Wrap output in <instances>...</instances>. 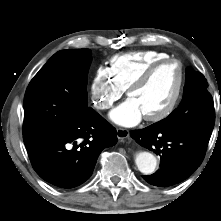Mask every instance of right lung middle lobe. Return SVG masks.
I'll use <instances>...</instances> for the list:
<instances>
[{"instance_id":"dd1d6c3e","label":"right lung middle lobe","mask_w":221,"mask_h":221,"mask_svg":"<svg viewBox=\"0 0 221 221\" xmlns=\"http://www.w3.org/2000/svg\"><path fill=\"white\" fill-rule=\"evenodd\" d=\"M89 49L61 50L31 80L24 97L23 136L73 125L88 111Z\"/></svg>"}]
</instances>
